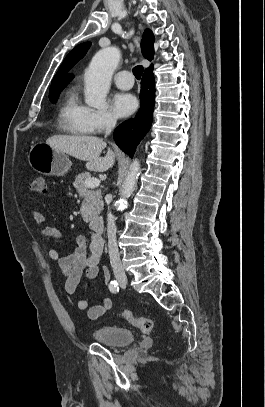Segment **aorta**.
Returning a JSON list of instances; mask_svg holds the SVG:
<instances>
[{"label": "aorta", "mask_w": 265, "mask_h": 407, "mask_svg": "<svg viewBox=\"0 0 265 407\" xmlns=\"http://www.w3.org/2000/svg\"><path fill=\"white\" fill-rule=\"evenodd\" d=\"M119 60L120 52L116 47L102 49L94 55L84 76L85 103L87 105L95 108H102L105 106L111 78ZM139 173L140 163L135 159L129 167L121 197L118 201L120 209L127 207V199L136 188Z\"/></svg>", "instance_id": "762f6f07"}]
</instances>
